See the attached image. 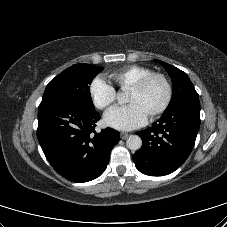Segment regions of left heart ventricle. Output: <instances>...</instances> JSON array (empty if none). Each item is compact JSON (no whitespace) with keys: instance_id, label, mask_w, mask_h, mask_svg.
<instances>
[{"instance_id":"obj_1","label":"left heart ventricle","mask_w":227,"mask_h":227,"mask_svg":"<svg viewBox=\"0 0 227 227\" xmlns=\"http://www.w3.org/2000/svg\"><path fill=\"white\" fill-rule=\"evenodd\" d=\"M165 95L163 82L160 79H153L142 91L130 90L128 102L138 104L149 115L162 105Z\"/></svg>"}]
</instances>
